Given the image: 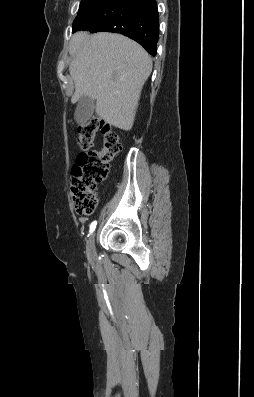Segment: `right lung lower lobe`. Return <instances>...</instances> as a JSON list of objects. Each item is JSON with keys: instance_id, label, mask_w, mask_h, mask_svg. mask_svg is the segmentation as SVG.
Returning a JSON list of instances; mask_svg holds the SVG:
<instances>
[{"instance_id": "obj_1", "label": "right lung lower lobe", "mask_w": 254, "mask_h": 397, "mask_svg": "<svg viewBox=\"0 0 254 397\" xmlns=\"http://www.w3.org/2000/svg\"><path fill=\"white\" fill-rule=\"evenodd\" d=\"M155 0H107L100 10L78 29L116 32L141 44L155 56L159 38V18Z\"/></svg>"}]
</instances>
